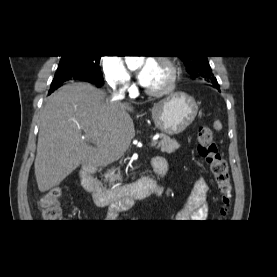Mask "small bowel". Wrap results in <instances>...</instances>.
<instances>
[{
  "mask_svg": "<svg viewBox=\"0 0 277 277\" xmlns=\"http://www.w3.org/2000/svg\"><path fill=\"white\" fill-rule=\"evenodd\" d=\"M155 158V157H154ZM152 159V168L154 172L161 178L167 175L158 167L157 163ZM161 158V157H160ZM164 160V159H163ZM165 161V160H164ZM166 163V162H165ZM167 165V164H166ZM164 174V175H163ZM209 186L203 178H199L194 184L193 190L188 197V200L182 210L177 214L179 220H203L207 217L208 205H207V193ZM162 193V189L159 194ZM114 212L110 213V217H115Z\"/></svg>",
  "mask_w": 277,
  "mask_h": 277,
  "instance_id": "1",
  "label": "small bowel"
}]
</instances>
